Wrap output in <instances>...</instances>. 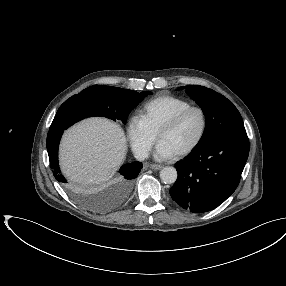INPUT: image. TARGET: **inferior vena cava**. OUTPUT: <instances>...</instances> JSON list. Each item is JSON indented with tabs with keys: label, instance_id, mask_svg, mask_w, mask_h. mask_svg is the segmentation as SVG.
<instances>
[{
	"label": "inferior vena cava",
	"instance_id": "obj_1",
	"mask_svg": "<svg viewBox=\"0 0 286 286\" xmlns=\"http://www.w3.org/2000/svg\"><path fill=\"white\" fill-rule=\"evenodd\" d=\"M148 151L147 150H139L137 152H135V158L139 161H143L146 158H148Z\"/></svg>",
	"mask_w": 286,
	"mask_h": 286
}]
</instances>
